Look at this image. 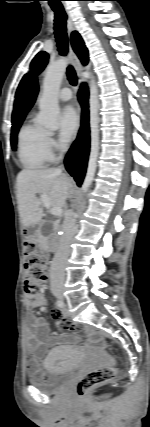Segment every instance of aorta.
Segmentation results:
<instances>
[{"label":"aorta","instance_id":"762f6f07","mask_svg":"<svg viewBox=\"0 0 150 427\" xmlns=\"http://www.w3.org/2000/svg\"><path fill=\"white\" fill-rule=\"evenodd\" d=\"M68 65L66 58H60L55 63L48 66L44 80L42 95L39 100L40 114L38 116L39 124L44 127L55 130L58 127V93L62 78ZM99 98L98 87L94 78L89 83V116H90V137L91 147L88 161L87 173L82 185V192L86 193L92 184L97 167L99 154Z\"/></svg>","mask_w":150,"mask_h":427}]
</instances>
